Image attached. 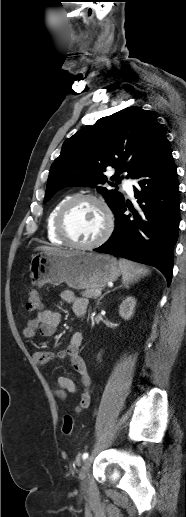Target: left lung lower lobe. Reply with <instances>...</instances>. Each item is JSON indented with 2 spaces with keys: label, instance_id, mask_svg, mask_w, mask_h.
<instances>
[{
  "label": "left lung lower lobe",
  "instance_id": "1",
  "mask_svg": "<svg viewBox=\"0 0 186 517\" xmlns=\"http://www.w3.org/2000/svg\"><path fill=\"white\" fill-rule=\"evenodd\" d=\"M138 180L139 205L124 202L114 213L116 226L102 246L94 249L158 268L171 282L173 249L179 229V183L167 138L132 175ZM127 207L132 214L125 215Z\"/></svg>",
  "mask_w": 186,
  "mask_h": 517
}]
</instances>
